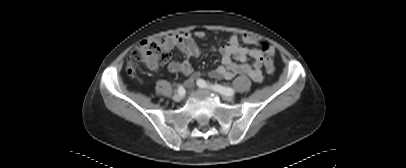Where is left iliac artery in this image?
<instances>
[{"mask_svg":"<svg viewBox=\"0 0 406 168\" xmlns=\"http://www.w3.org/2000/svg\"><path fill=\"white\" fill-rule=\"evenodd\" d=\"M197 85L201 88H210L222 95H233L234 94V90L230 87H225V86H222L219 84H210V83H207L203 79H198Z\"/></svg>","mask_w":406,"mask_h":168,"instance_id":"1","label":"left iliac artery"}]
</instances>
